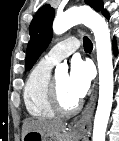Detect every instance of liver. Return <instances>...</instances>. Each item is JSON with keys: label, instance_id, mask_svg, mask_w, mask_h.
<instances>
[{"label": "liver", "instance_id": "1", "mask_svg": "<svg viewBox=\"0 0 119 141\" xmlns=\"http://www.w3.org/2000/svg\"><path fill=\"white\" fill-rule=\"evenodd\" d=\"M34 130L42 133H60L66 130V124L55 120H26L22 127V139L28 131Z\"/></svg>", "mask_w": 119, "mask_h": 141}]
</instances>
